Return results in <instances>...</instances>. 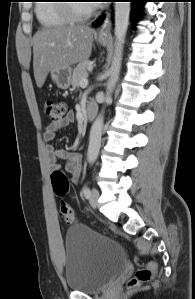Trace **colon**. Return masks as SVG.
<instances>
[{"label":"colon","instance_id":"1","mask_svg":"<svg viewBox=\"0 0 195 299\" xmlns=\"http://www.w3.org/2000/svg\"><path fill=\"white\" fill-rule=\"evenodd\" d=\"M67 110L68 106L64 101L50 100L45 104V113L53 122L61 121L65 117ZM51 180L56 195L63 196L67 193L69 180L62 170H53L51 173ZM60 215L64 218L67 224H74L76 222L74 210L64 201H61ZM154 271V263L138 268L131 285L139 286L143 283L149 282L153 278Z\"/></svg>","mask_w":195,"mask_h":299}]
</instances>
